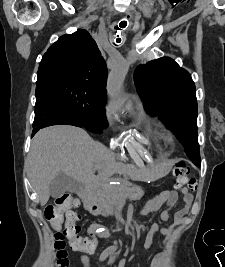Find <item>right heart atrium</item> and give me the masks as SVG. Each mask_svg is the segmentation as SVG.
I'll list each match as a JSON object with an SVG mask.
<instances>
[{"instance_id": "1", "label": "right heart atrium", "mask_w": 225, "mask_h": 267, "mask_svg": "<svg viewBox=\"0 0 225 267\" xmlns=\"http://www.w3.org/2000/svg\"><path fill=\"white\" fill-rule=\"evenodd\" d=\"M104 113H105V117L108 119V120H113L114 117H115V114H116V107L113 103H108L106 106H105V110H104Z\"/></svg>"}]
</instances>
